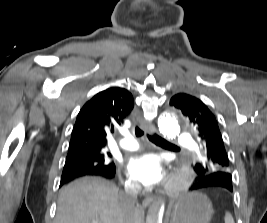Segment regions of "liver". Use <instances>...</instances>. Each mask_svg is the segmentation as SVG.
Here are the masks:
<instances>
[{
	"label": "liver",
	"instance_id": "6515ba94",
	"mask_svg": "<svg viewBox=\"0 0 267 223\" xmlns=\"http://www.w3.org/2000/svg\"><path fill=\"white\" fill-rule=\"evenodd\" d=\"M123 193L102 178L84 177L62 188L54 223H123ZM134 223H142L136 206Z\"/></svg>",
	"mask_w": 267,
	"mask_h": 223
}]
</instances>
